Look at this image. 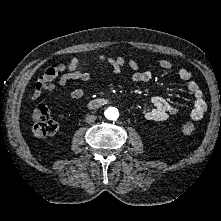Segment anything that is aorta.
Returning a JSON list of instances; mask_svg holds the SVG:
<instances>
[{
    "mask_svg": "<svg viewBox=\"0 0 221 221\" xmlns=\"http://www.w3.org/2000/svg\"><path fill=\"white\" fill-rule=\"evenodd\" d=\"M105 117L108 120H117L119 117L118 109L115 107H109L105 110Z\"/></svg>",
    "mask_w": 221,
    "mask_h": 221,
    "instance_id": "aorta-1",
    "label": "aorta"
}]
</instances>
